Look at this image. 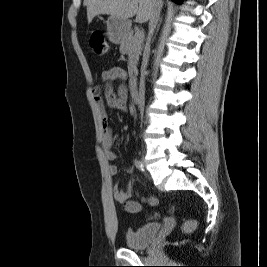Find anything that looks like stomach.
<instances>
[{"mask_svg": "<svg viewBox=\"0 0 267 267\" xmlns=\"http://www.w3.org/2000/svg\"><path fill=\"white\" fill-rule=\"evenodd\" d=\"M130 21L115 16H110L107 20V36L108 39L115 44L121 42L122 38L130 30Z\"/></svg>", "mask_w": 267, "mask_h": 267, "instance_id": "0dacf381", "label": "stomach"}]
</instances>
